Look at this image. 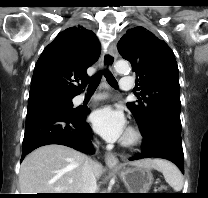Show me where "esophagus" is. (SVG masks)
<instances>
[{
  "instance_id": "obj_1",
  "label": "esophagus",
  "mask_w": 208,
  "mask_h": 198,
  "mask_svg": "<svg viewBox=\"0 0 208 198\" xmlns=\"http://www.w3.org/2000/svg\"><path fill=\"white\" fill-rule=\"evenodd\" d=\"M116 51L113 48H109L102 56V65L104 68H112L116 61ZM105 162L109 167H117L119 165L118 158L113 153H107L105 156Z\"/></svg>"
}]
</instances>
